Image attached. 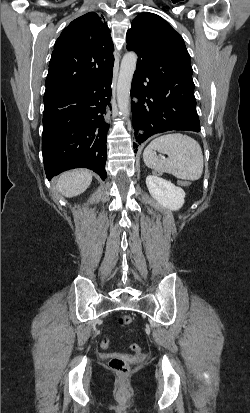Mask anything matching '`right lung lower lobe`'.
Segmentation results:
<instances>
[{
	"instance_id": "1",
	"label": "right lung lower lobe",
	"mask_w": 250,
	"mask_h": 413,
	"mask_svg": "<svg viewBox=\"0 0 250 413\" xmlns=\"http://www.w3.org/2000/svg\"><path fill=\"white\" fill-rule=\"evenodd\" d=\"M112 71L85 86L44 95L42 152L47 179L85 167L107 177Z\"/></svg>"
}]
</instances>
